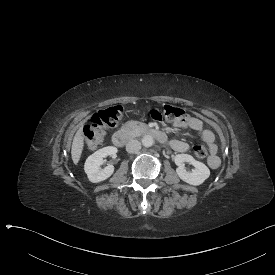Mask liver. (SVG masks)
<instances>
[{"mask_svg": "<svg viewBox=\"0 0 275 275\" xmlns=\"http://www.w3.org/2000/svg\"><path fill=\"white\" fill-rule=\"evenodd\" d=\"M83 148H84V136H83V126H81L74 138H73V142L71 145V158L72 161L74 163V165H78L82 152H83Z\"/></svg>", "mask_w": 275, "mask_h": 275, "instance_id": "6515ba94", "label": "liver"}]
</instances>
